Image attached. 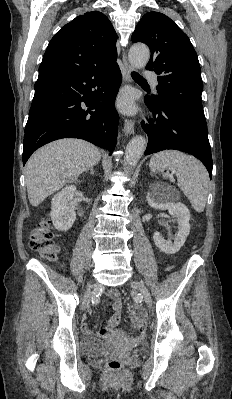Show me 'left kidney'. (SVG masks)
<instances>
[{
  "label": "left kidney",
  "instance_id": "1",
  "mask_svg": "<svg viewBox=\"0 0 232 399\" xmlns=\"http://www.w3.org/2000/svg\"><path fill=\"white\" fill-rule=\"evenodd\" d=\"M164 196L165 192L162 186H160V184H152L146 198L151 207H156V209H168L170 215L177 217L178 231L175 235H172L174 241H171V239H164L160 231H154L153 239L157 247L165 251V253H176V251H179L184 241H186L187 235H189L190 211L185 203H181V201H178V203L165 201Z\"/></svg>",
  "mask_w": 232,
  "mask_h": 399
}]
</instances>
